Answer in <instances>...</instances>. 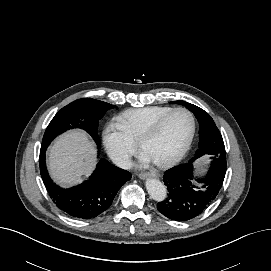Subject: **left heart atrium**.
I'll use <instances>...</instances> for the list:
<instances>
[{"label": "left heart atrium", "instance_id": "obj_1", "mask_svg": "<svg viewBox=\"0 0 271 271\" xmlns=\"http://www.w3.org/2000/svg\"><path fill=\"white\" fill-rule=\"evenodd\" d=\"M153 161V159L150 157V155L146 152H143L140 158L141 165L145 166L150 164Z\"/></svg>", "mask_w": 271, "mask_h": 271}]
</instances>
